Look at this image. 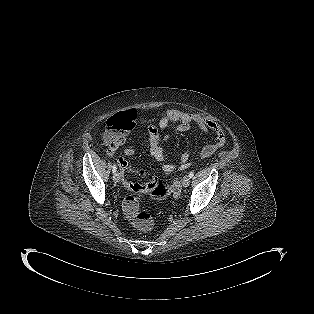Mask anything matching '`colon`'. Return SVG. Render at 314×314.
Masks as SVG:
<instances>
[{
    "instance_id": "obj_1",
    "label": "colon",
    "mask_w": 314,
    "mask_h": 314,
    "mask_svg": "<svg viewBox=\"0 0 314 314\" xmlns=\"http://www.w3.org/2000/svg\"><path fill=\"white\" fill-rule=\"evenodd\" d=\"M137 114L135 110L129 109L113 115L107 120L104 132L106 143H114L132 130L136 124ZM178 187V182H174L172 188L155 177H151L147 184H129V188L134 192L133 195L125 197L122 203L124 215L133 227L140 231H149L154 225L153 216L145 211L140 210V200L145 195L155 198H165L172 190Z\"/></svg>"
}]
</instances>
